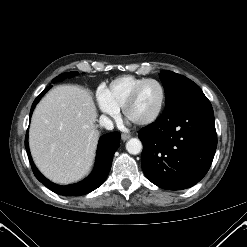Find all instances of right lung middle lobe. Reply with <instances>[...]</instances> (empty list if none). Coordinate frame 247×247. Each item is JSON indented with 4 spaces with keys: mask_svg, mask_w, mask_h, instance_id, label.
<instances>
[{
    "mask_svg": "<svg viewBox=\"0 0 247 247\" xmlns=\"http://www.w3.org/2000/svg\"><path fill=\"white\" fill-rule=\"evenodd\" d=\"M77 74H78V72H76V71L63 73V74L57 76L56 78H54L52 82L62 81L63 79H65L67 77H72V76L77 75Z\"/></svg>",
    "mask_w": 247,
    "mask_h": 247,
    "instance_id": "obj_1",
    "label": "right lung middle lobe"
}]
</instances>
